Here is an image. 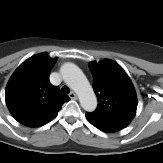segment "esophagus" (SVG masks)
Returning <instances> with one entry per match:
<instances>
[{
    "mask_svg": "<svg viewBox=\"0 0 163 163\" xmlns=\"http://www.w3.org/2000/svg\"><path fill=\"white\" fill-rule=\"evenodd\" d=\"M69 97L71 99H77V94L74 91H72V92H70Z\"/></svg>",
    "mask_w": 163,
    "mask_h": 163,
    "instance_id": "1",
    "label": "esophagus"
}]
</instances>
